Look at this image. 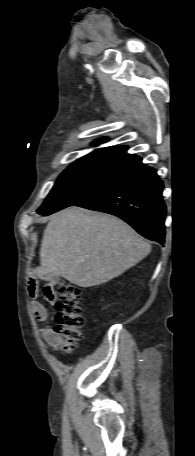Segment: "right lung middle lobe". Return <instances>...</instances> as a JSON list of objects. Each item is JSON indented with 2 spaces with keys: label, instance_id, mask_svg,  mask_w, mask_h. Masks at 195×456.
Segmentation results:
<instances>
[{
  "label": "right lung middle lobe",
  "instance_id": "obj_1",
  "mask_svg": "<svg viewBox=\"0 0 195 456\" xmlns=\"http://www.w3.org/2000/svg\"><path fill=\"white\" fill-rule=\"evenodd\" d=\"M122 169L90 163H72L58 178L39 210L52 214L75 205L112 181Z\"/></svg>",
  "mask_w": 195,
  "mask_h": 456
}]
</instances>
